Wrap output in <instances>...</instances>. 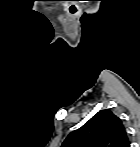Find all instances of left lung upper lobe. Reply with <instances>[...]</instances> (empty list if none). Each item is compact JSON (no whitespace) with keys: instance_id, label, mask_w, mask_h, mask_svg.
<instances>
[{"instance_id":"obj_1","label":"left lung upper lobe","mask_w":140,"mask_h":147,"mask_svg":"<svg viewBox=\"0 0 140 147\" xmlns=\"http://www.w3.org/2000/svg\"><path fill=\"white\" fill-rule=\"evenodd\" d=\"M62 147H130V141L121 119L106 109L71 132Z\"/></svg>"}]
</instances>
